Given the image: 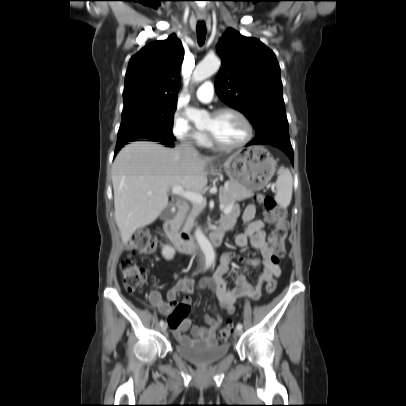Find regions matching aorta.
<instances>
[{
  "label": "aorta",
  "mask_w": 406,
  "mask_h": 406,
  "mask_svg": "<svg viewBox=\"0 0 406 406\" xmlns=\"http://www.w3.org/2000/svg\"><path fill=\"white\" fill-rule=\"evenodd\" d=\"M220 65L221 62L219 58L216 56H208L204 58L196 66L193 72L192 75L193 82L199 83L209 78L219 70ZM185 115L190 121H192L195 124L197 128L204 126L209 120V115L206 111L191 107L185 109ZM195 236L205 256V267L209 268L213 264L215 259L214 249L209 240L206 238V236L202 233L200 229L196 231Z\"/></svg>",
  "instance_id": "aorta-1"
}]
</instances>
